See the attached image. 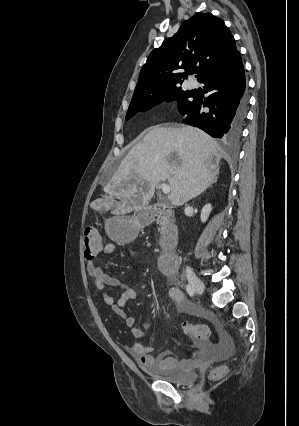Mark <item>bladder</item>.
<instances>
[{"instance_id":"1","label":"bladder","mask_w":299,"mask_h":426,"mask_svg":"<svg viewBox=\"0 0 299 426\" xmlns=\"http://www.w3.org/2000/svg\"><path fill=\"white\" fill-rule=\"evenodd\" d=\"M143 370L150 376L173 384H191L197 379V373L194 370L159 369L149 366H143Z\"/></svg>"}]
</instances>
